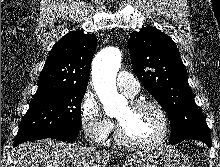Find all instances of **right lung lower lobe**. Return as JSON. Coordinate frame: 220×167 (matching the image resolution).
Masks as SVG:
<instances>
[{"label":"right lung lower lobe","instance_id":"98d812e1","mask_svg":"<svg viewBox=\"0 0 220 167\" xmlns=\"http://www.w3.org/2000/svg\"><path fill=\"white\" fill-rule=\"evenodd\" d=\"M79 131H74V132H65V133H60V134H55V135H41L39 137H36L34 139H31L29 141L33 140H39V139H44V138H53L61 141H71L77 138ZM22 142H17L15 143V146L18 144H21Z\"/></svg>","mask_w":220,"mask_h":167}]
</instances>
